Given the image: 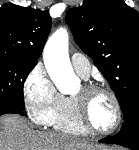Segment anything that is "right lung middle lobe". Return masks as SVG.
I'll return each mask as SVG.
<instances>
[{
  "label": "right lung middle lobe",
  "instance_id": "1",
  "mask_svg": "<svg viewBox=\"0 0 139 150\" xmlns=\"http://www.w3.org/2000/svg\"><path fill=\"white\" fill-rule=\"evenodd\" d=\"M36 64L33 61L0 55V103H10L24 109V82Z\"/></svg>",
  "mask_w": 139,
  "mask_h": 150
}]
</instances>
